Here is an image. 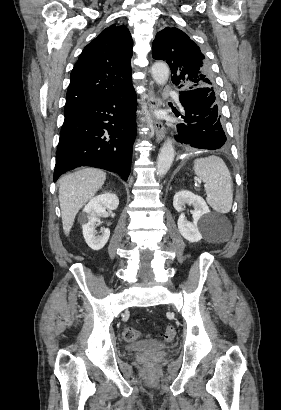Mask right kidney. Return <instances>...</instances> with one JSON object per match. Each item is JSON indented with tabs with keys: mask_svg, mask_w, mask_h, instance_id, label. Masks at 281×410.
<instances>
[{
	"mask_svg": "<svg viewBox=\"0 0 281 410\" xmlns=\"http://www.w3.org/2000/svg\"><path fill=\"white\" fill-rule=\"evenodd\" d=\"M119 199L114 193H104L90 200L79 216L82 224L83 236L88 246L93 250L102 249L110 237L108 228L101 229V235H97L96 227L101 223L100 217L106 209L116 210Z\"/></svg>",
	"mask_w": 281,
	"mask_h": 410,
	"instance_id": "1",
	"label": "right kidney"
}]
</instances>
